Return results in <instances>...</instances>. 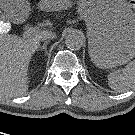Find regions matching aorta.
Segmentation results:
<instances>
[{
    "label": "aorta",
    "mask_w": 135,
    "mask_h": 135,
    "mask_svg": "<svg viewBox=\"0 0 135 135\" xmlns=\"http://www.w3.org/2000/svg\"><path fill=\"white\" fill-rule=\"evenodd\" d=\"M85 41V37L81 31L73 30L65 38V44L68 48L79 50Z\"/></svg>",
    "instance_id": "1"
}]
</instances>
